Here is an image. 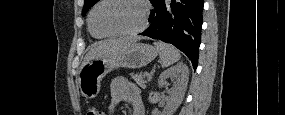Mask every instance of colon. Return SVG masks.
I'll list each match as a JSON object with an SVG mask.
<instances>
[{
    "instance_id": "colon-1",
    "label": "colon",
    "mask_w": 285,
    "mask_h": 115,
    "mask_svg": "<svg viewBox=\"0 0 285 115\" xmlns=\"http://www.w3.org/2000/svg\"><path fill=\"white\" fill-rule=\"evenodd\" d=\"M87 115H103V112L101 109L95 106H89L86 110Z\"/></svg>"
}]
</instances>
